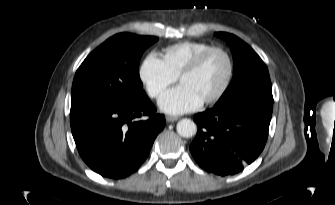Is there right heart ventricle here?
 I'll return each mask as SVG.
<instances>
[{"instance_id":"e07e8e85","label":"right heart ventricle","mask_w":335,"mask_h":205,"mask_svg":"<svg viewBox=\"0 0 335 205\" xmlns=\"http://www.w3.org/2000/svg\"><path fill=\"white\" fill-rule=\"evenodd\" d=\"M211 45L198 41H183L167 46L162 52V59L169 70L177 77L201 52Z\"/></svg>"}]
</instances>
